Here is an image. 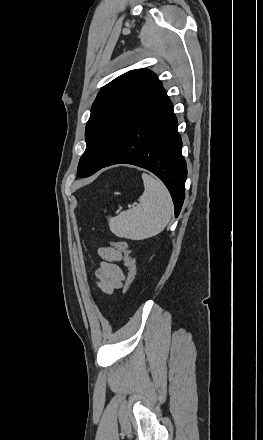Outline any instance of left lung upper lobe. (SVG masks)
Masks as SVG:
<instances>
[{
  "instance_id": "left-lung-upper-lobe-1",
  "label": "left lung upper lobe",
  "mask_w": 263,
  "mask_h": 440,
  "mask_svg": "<svg viewBox=\"0 0 263 440\" xmlns=\"http://www.w3.org/2000/svg\"><path fill=\"white\" fill-rule=\"evenodd\" d=\"M161 87L153 72L136 69L100 90L86 125V150L78 164L79 176L87 177L107 163L136 114Z\"/></svg>"
}]
</instances>
